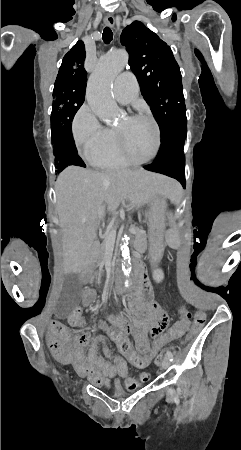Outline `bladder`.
Returning <instances> with one entry per match:
<instances>
[{
    "label": "bladder",
    "instance_id": "bladder-1",
    "mask_svg": "<svg viewBox=\"0 0 241 450\" xmlns=\"http://www.w3.org/2000/svg\"><path fill=\"white\" fill-rule=\"evenodd\" d=\"M115 395L118 397H122L126 395V392H124L123 390H116Z\"/></svg>",
    "mask_w": 241,
    "mask_h": 450
}]
</instances>
